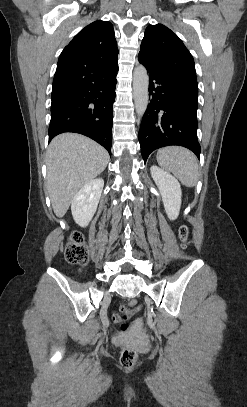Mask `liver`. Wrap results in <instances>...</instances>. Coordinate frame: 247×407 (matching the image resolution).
<instances>
[{
	"label": "liver",
	"instance_id": "6515ba94",
	"mask_svg": "<svg viewBox=\"0 0 247 407\" xmlns=\"http://www.w3.org/2000/svg\"><path fill=\"white\" fill-rule=\"evenodd\" d=\"M108 162V152L83 135L64 133L51 141L46 154L47 190L57 217L66 214L78 191Z\"/></svg>",
	"mask_w": 247,
	"mask_h": 407
}]
</instances>
